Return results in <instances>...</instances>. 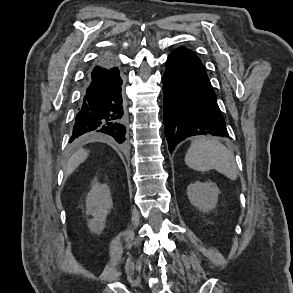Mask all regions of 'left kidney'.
Returning <instances> with one entry per match:
<instances>
[{
    "label": "left kidney",
    "mask_w": 293,
    "mask_h": 293,
    "mask_svg": "<svg viewBox=\"0 0 293 293\" xmlns=\"http://www.w3.org/2000/svg\"><path fill=\"white\" fill-rule=\"evenodd\" d=\"M219 194L220 190L214 182L196 181L187 187L190 203L203 212H209L215 208Z\"/></svg>",
    "instance_id": "left-kidney-1"
}]
</instances>
